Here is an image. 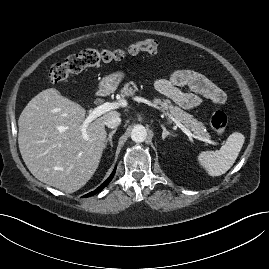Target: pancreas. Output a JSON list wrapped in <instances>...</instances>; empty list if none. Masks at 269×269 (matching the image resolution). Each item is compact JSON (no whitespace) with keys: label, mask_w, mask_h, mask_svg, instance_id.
Returning a JSON list of instances; mask_svg holds the SVG:
<instances>
[{"label":"pancreas","mask_w":269,"mask_h":269,"mask_svg":"<svg viewBox=\"0 0 269 269\" xmlns=\"http://www.w3.org/2000/svg\"><path fill=\"white\" fill-rule=\"evenodd\" d=\"M137 91L138 88L133 81L126 83L121 90L123 96H133ZM153 103L155 105H159L161 108H163V110L167 111L170 117H173L177 121L182 123L196 137L201 139L210 138V135L202 122L198 121L196 118L193 117V115L183 111L179 107L172 105L170 100L155 97L153 99Z\"/></svg>","instance_id":"pancreas-1"}]
</instances>
